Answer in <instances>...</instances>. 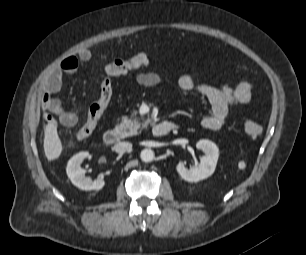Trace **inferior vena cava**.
<instances>
[{"instance_id":"1","label":"inferior vena cava","mask_w":306,"mask_h":255,"mask_svg":"<svg viewBox=\"0 0 306 255\" xmlns=\"http://www.w3.org/2000/svg\"><path fill=\"white\" fill-rule=\"evenodd\" d=\"M132 148V144L129 142H119L114 146V151L123 154L127 151H129Z\"/></svg>"}]
</instances>
